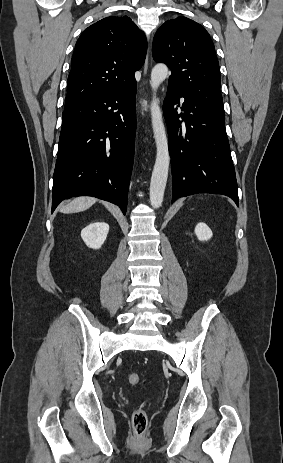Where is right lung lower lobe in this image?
Segmentation results:
<instances>
[{"label": "right lung lower lobe", "instance_id": "right-lung-lower-lobe-1", "mask_svg": "<svg viewBox=\"0 0 283 463\" xmlns=\"http://www.w3.org/2000/svg\"><path fill=\"white\" fill-rule=\"evenodd\" d=\"M136 82L97 94L62 114L52 212L63 200L94 196L125 214L134 159Z\"/></svg>", "mask_w": 283, "mask_h": 463}]
</instances>
